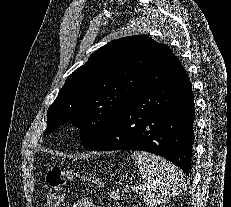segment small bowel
I'll return each mask as SVG.
<instances>
[{
	"instance_id": "c3829d8e",
	"label": "small bowel",
	"mask_w": 231,
	"mask_h": 207,
	"mask_svg": "<svg viewBox=\"0 0 231 207\" xmlns=\"http://www.w3.org/2000/svg\"><path fill=\"white\" fill-rule=\"evenodd\" d=\"M71 207H96L92 201L88 199H78L76 200Z\"/></svg>"
}]
</instances>
